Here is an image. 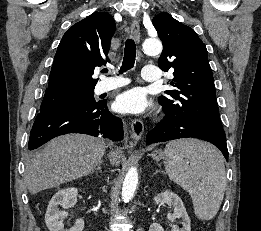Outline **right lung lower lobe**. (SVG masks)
Here are the masks:
<instances>
[{
	"label": "right lung lower lobe",
	"mask_w": 261,
	"mask_h": 231,
	"mask_svg": "<svg viewBox=\"0 0 261 231\" xmlns=\"http://www.w3.org/2000/svg\"><path fill=\"white\" fill-rule=\"evenodd\" d=\"M106 104L105 100H100L91 105H72L40 112L30 133L29 150L67 133H82L95 137L102 134L113 141L121 140L122 120L112 115Z\"/></svg>",
	"instance_id": "obj_1"
}]
</instances>
